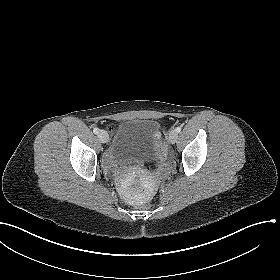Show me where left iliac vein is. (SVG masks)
Segmentation results:
<instances>
[{
  "label": "left iliac vein",
  "mask_w": 280,
  "mask_h": 280,
  "mask_svg": "<svg viewBox=\"0 0 280 280\" xmlns=\"http://www.w3.org/2000/svg\"><path fill=\"white\" fill-rule=\"evenodd\" d=\"M177 138H178V132L176 130H172L169 133V142L171 144H174L177 141Z\"/></svg>",
  "instance_id": "obj_1"
}]
</instances>
